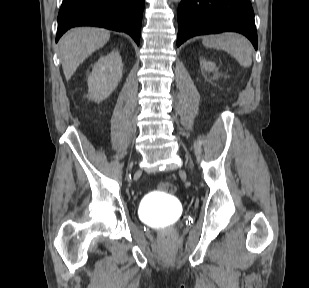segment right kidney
Masks as SVG:
<instances>
[{"mask_svg":"<svg viewBox=\"0 0 309 288\" xmlns=\"http://www.w3.org/2000/svg\"><path fill=\"white\" fill-rule=\"evenodd\" d=\"M122 70V59L118 51L100 57L88 76L89 98L102 101L109 97L122 78Z\"/></svg>","mask_w":309,"mask_h":288,"instance_id":"right-kidney-1","label":"right kidney"}]
</instances>
